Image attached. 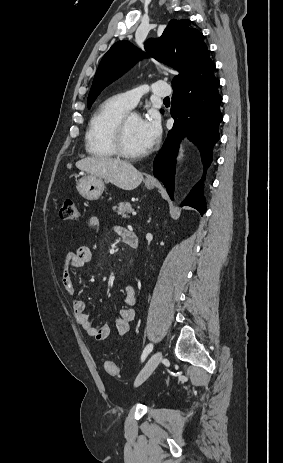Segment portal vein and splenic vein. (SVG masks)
Segmentation results:
<instances>
[{"label":"portal vein and splenic vein","mask_w":283,"mask_h":463,"mask_svg":"<svg viewBox=\"0 0 283 463\" xmlns=\"http://www.w3.org/2000/svg\"><path fill=\"white\" fill-rule=\"evenodd\" d=\"M136 214H137L136 212H134V211L132 212V215H136Z\"/></svg>","instance_id":"portal-vein-and-splenic-vein-1"}]
</instances>
